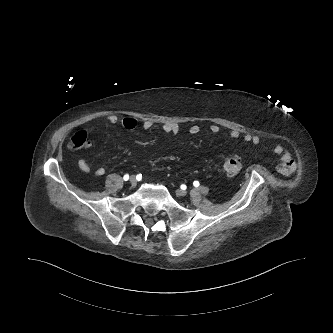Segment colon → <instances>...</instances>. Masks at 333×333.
<instances>
[{
  "instance_id": "5ec220e1",
  "label": "colon",
  "mask_w": 333,
  "mask_h": 333,
  "mask_svg": "<svg viewBox=\"0 0 333 333\" xmlns=\"http://www.w3.org/2000/svg\"><path fill=\"white\" fill-rule=\"evenodd\" d=\"M89 145L90 141L86 131L75 133L69 142V148L74 151L87 148ZM223 169L229 176L237 175L242 169V161L237 156L226 157L223 161Z\"/></svg>"
}]
</instances>
